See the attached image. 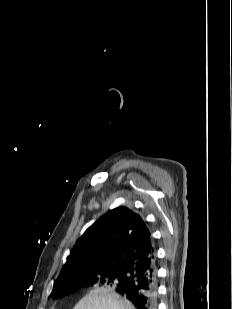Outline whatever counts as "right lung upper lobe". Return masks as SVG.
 <instances>
[{
    "label": "right lung upper lobe",
    "instance_id": "cb5924a9",
    "mask_svg": "<svg viewBox=\"0 0 232 309\" xmlns=\"http://www.w3.org/2000/svg\"><path fill=\"white\" fill-rule=\"evenodd\" d=\"M151 256H155V248L145 221L134 210L118 207L104 214L77 240L54 284L95 270L128 273L136 262Z\"/></svg>",
    "mask_w": 232,
    "mask_h": 309
}]
</instances>
